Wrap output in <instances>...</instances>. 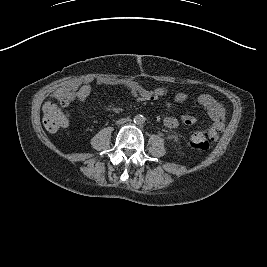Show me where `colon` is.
Segmentation results:
<instances>
[{
	"label": "colon",
	"instance_id": "5ec220e1",
	"mask_svg": "<svg viewBox=\"0 0 267 267\" xmlns=\"http://www.w3.org/2000/svg\"><path fill=\"white\" fill-rule=\"evenodd\" d=\"M42 115L44 126L48 131H57L67 124V115L55 102L44 103ZM211 141V136L205 132H196L191 138L192 146L198 150L209 149Z\"/></svg>",
	"mask_w": 267,
	"mask_h": 267
}]
</instances>
